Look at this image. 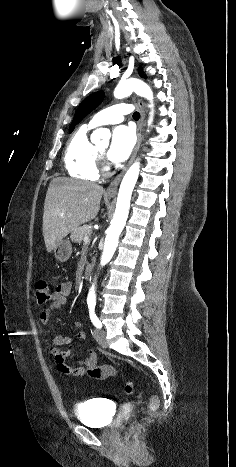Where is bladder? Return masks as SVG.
<instances>
[{"label": "bladder", "instance_id": "obj_1", "mask_svg": "<svg viewBox=\"0 0 236 467\" xmlns=\"http://www.w3.org/2000/svg\"><path fill=\"white\" fill-rule=\"evenodd\" d=\"M114 408L109 401L102 398L86 400L75 408L76 418L86 425L106 427L110 424L109 413Z\"/></svg>", "mask_w": 236, "mask_h": 467}]
</instances>
